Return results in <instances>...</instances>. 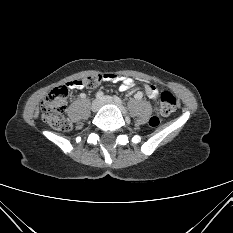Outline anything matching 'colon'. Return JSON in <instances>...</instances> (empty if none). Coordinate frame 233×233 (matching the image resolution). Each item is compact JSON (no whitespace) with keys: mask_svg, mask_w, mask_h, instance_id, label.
Wrapping results in <instances>:
<instances>
[{"mask_svg":"<svg viewBox=\"0 0 233 233\" xmlns=\"http://www.w3.org/2000/svg\"><path fill=\"white\" fill-rule=\"evenodd\" d=\"M103 76V74H95L85 77L82 80L87 88H95L103 82ZM68 97L69 90L64 85L53 89L42 101V118L56 130L68 131L71 129V122L63 114L67 106ZM154 102L160 114L165 116L170 115L177 108V100L175 96L167 91L162 92L156 97ZM158 124V116L150 118L149 126L156 127Z\"/></svg>","mask_w":233,"mask_h":233,"instance_id":"5ec220e1","label":"colon"}]
</instances>
